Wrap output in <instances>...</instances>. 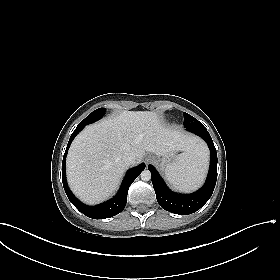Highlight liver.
I'll return each mask as SVG.
<instances>
[{
  "label": "liver",
  "instance_id": "6515ba94",
  "mask_svg": "<svg viewBox=\"0 0 280 280\" xmlns=\"http://www.w3.org/2000/svg\"><path fill=\"white\" fill-rule=\"evenodd\" d=\"M202 149L200 139L166 127L154 112L124 111L87 126L75 138L66 161L67 179L77 197L96 204L116 190L127 169L125 154H133L137 164L145 152L193 155Z\"/></svg>",
  "mask_w": 280,
  "mask_h": 280
}]
</instances>
